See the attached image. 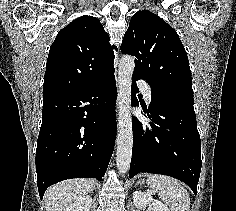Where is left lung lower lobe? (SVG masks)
Returning <instances> with one entry per match:
<instances>
[{"label": "left lung lower lobe", "mask_w": 236, "mask_h": 211, "mask_svg": "<svg viewBox=\"0 0 236 211\" xmlns=\"http://www.w3.org/2000/svg\"><path fill=\"white\" fill-rule=\"evenodd\" d=\"M133 75L132 106H139ZM149 108L143 112L151 121L142 124L132 116L133 153L130 178L139 172L164 174L185 182L197 193L201 171V142L195 111L166 102L153 89Z\"/></svg>", "instance_id": "0a47b994"}]
</instances>
